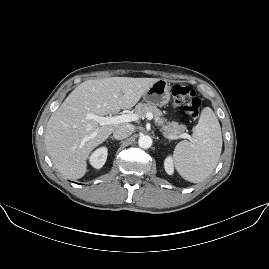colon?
Instances as JSON below:
<instances>
[{"mask_svg":"<svg viewBox=\"0 0 269 269\" xmlns=\"http://www.w3.org/2000/svg\"><path fill=\"white\" fill-rule=\"evenodd\" d=\"M171 102L174 107L183 106L185 112L192 118L198 117L202 106L201 99L189 87L175 84L171 90Z\"/></svg>","mask_w":269,"mask_h":269,"instance_id":"obj_1","label":"colon"}]
</instances>
